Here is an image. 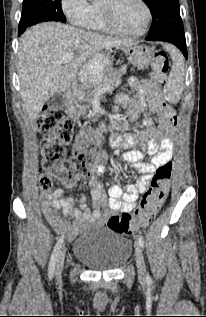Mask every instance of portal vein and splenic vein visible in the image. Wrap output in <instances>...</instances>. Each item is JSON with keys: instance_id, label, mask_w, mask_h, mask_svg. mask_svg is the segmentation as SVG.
<instances>
[{"instance_id": "18ae733b", "label": "portal vein and splenic vein", "mask_w": 206, "mask_h": 317, "mask_svg": "<svg viewBox=\"0 0 206 317\" xmlns=\"http://www.w3.org/2000/svg\"><path fill=\"white\" fill-rule=\"evenodd\" d=\"M74 58V52H67L63 55L62 59L59 60L60 63H66ZM108 88H103L100 92L97 93V95L101 92H106Z\"/></svg>"}]
</instances>
